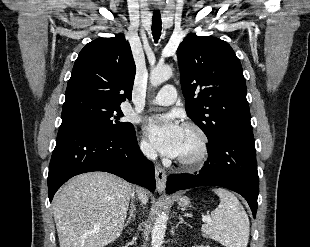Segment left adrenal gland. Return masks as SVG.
<instances>
[{
	"mask_svg": "<svg viewBox=\"0 0 310 247\" xmlns=\"http://www.w3.org/2000/svg\"><path fill=\"white\" fill-rule=\"evenodd\" d=\"M179 223L177 224V226H179L180 224H187L186 222H184V219L182 218V216H179Z\"/></svg>",
	"mask_w": 310,
	"mask_h": 247,
	"instance_id": "1",
	"label": "left adrenal gland"
}]
</instances>
